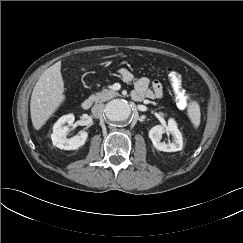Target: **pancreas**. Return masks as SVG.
<instances>
[{
	"label": "pancreas",
	"instance_id": "pancreas-1",
	"mask_svg": "<svg viewBox=\"0 0 243 243\" xmlns=\"http://www.w3.org/2000/svg\"><path fill=\"white\" fill-rule=\"evenodd\" d=\"M119 96L118 92H115L111 89H103L101 92L92 94L89 99L96 103L106 102L114 97Z\"/></svg>",
	"mask_w": 243,
	"mask_h": 243
}]
</instances>
